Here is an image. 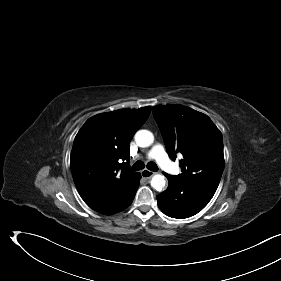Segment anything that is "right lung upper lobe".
<instances>
[{
    "mask_svg": "<svg viewBox=\"0 0 281 281\" xmlns=\"http://www.w3.org/2000/svg\"><path fill=\"white\" fill-rule=\"evenodd\" d=\"M151 108L97 114L75 137L70 163L74 183L93 210L115 214L133 195L140 173L130 171V141Z\"/></svg>",
    "mask_w": 281,
    "mask_h": 281,
    "instance_id": "cb5924a9",
    "label": "right lung upper lobe"
}]
</instances>
